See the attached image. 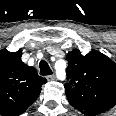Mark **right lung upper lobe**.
Here are the masks:
<instances>
[{
  "instance_id": "cb5924a9",
  "label": "right lung upper lobe",
  "mask_w": 116,
  "mask_h": 116,
  "mask_svg": "<svg viewBox=\"0 0 116 116\" xmlns=\"http://www.w3.org/2000/svg\"><path fill=\"white\" fill-rule=\"evenodd\" d=\"M22 51H0V116H19L38 98L47 82L21 60Z\"/></svg>"
}]
</instances>
